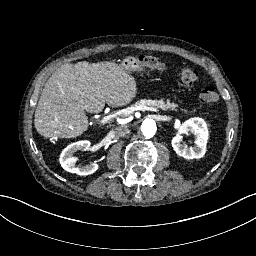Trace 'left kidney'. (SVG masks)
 <instances>
[{
  "instance_id": "1",
  "label": "left kidney",
  "mask_w": 256,
  "mask_h": 256,
  "mask_svg": "<svg viewBox=\"0 0 256 256\" xmlns=\"http://www.w3.org/2000/svg\"><path fill=\"white\" fill-rule=\"evenodd\" d=\"M192 133L195 136V146L188 147L182 144L181 134ZM209 137V132L206 122L199 117H194L186 120L178 129L171 144L177 155L185 159H199L205 155L206 144Z\"/></svg>"
}]
</instances>
